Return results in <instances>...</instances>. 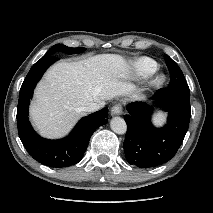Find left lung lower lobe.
Returning a JSON list of instances; mask_svg holds the SVG:
<instances>
[{
	"label": "left lung lower lobe",
	"mask_w": 213,
	"mask_h": 213,
	"mask_svg": "<svg viewBox=\"0 0 213 213\" xmlns=\"http://www.w3.org/2000/svg\"><path fill=\"white\" fill-rule=\"evenodd\" d=\"M158 106L168 112L163 128L151 123L152 110L145 102H132L124 116L127 133L124 141L125 157L129 164L148 168L168 162L181 146L188 130L191 109L190 94L160 89L153 96Z\"/></svg>",
	"instance_id": "left-lung-lower-lobe-1"
}]
</instances>
